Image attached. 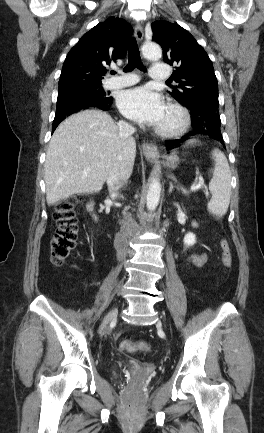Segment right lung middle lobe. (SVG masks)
<instances>
[{
  "label": "right lung middle lobe",
  "instance_id": "dd1d6c3e",
  "mask_svg": "<svg viewBox=\"0 0 264 433\" xmlns=\"http://www.w3.org/2000/svg\"><path fill=\"white\" fill-rule=\"evenodd\" d=\"M78 96H94L99 98H106L108 94L103 91L101 84L96 85H76L63 89L58 92L57 109L56 113L63 111L61 103L68 102L70 99Z\"/></svg>",
  "mask_w": 264,
  "mask_h": 433
}]
</instances>
